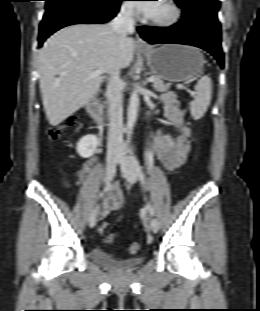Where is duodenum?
<instances>
[{"mask_svg": "<svg viewBox=\"0 0 260 311\" xmlns=\"http://www.w3.org/2000/svg\"><path fill=\"white\" fill-rule=\"evenodd\" d=\"M88 113L98 122L105 119V112L102 108L100 100L96 96L89 98L86 104Z\"/></svg>", "mask_w": 260, "mask_h": 311, "instance_id": "1", "label": "duodenum"}]
</instances>
